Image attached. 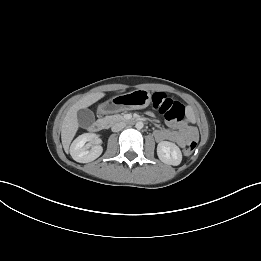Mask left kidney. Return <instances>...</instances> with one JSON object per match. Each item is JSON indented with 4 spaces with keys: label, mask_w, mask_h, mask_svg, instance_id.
Segmentation results:
<instances>
[{
    "label": "left kidney",
    "mask_w": 261,
    "mask_h": 261,
    "mask_svg": "<svg viewBox=\"0 0 261 261\" xmlns=\"http://www.w3.org/2000/svg\"><path fill=\"white\" fill-rule=\"evenodd\" d=\"M157 155L163 163L168 165L177 166L182 161V153L179 147L168 141H162L158 144Z\"/></svg>",
    "instance_id": "left-kidney-1"
}]
</instances>
